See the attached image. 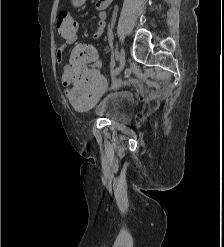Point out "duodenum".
<instances>
[{"label":"duodenum","mask_w":224,"mask_h":247,"mask_svg":"<svg viewBox=\"0 0 224 247\" xmlns=\"http://www.w3.org/2000/svg\"><path fill=\"white\" fill-rule=\"evenodd\" d=\"M112 0H98V8L100 10H105L110 4Z\"/></svg>","instance_id":"obj_1"}]
</instances>
